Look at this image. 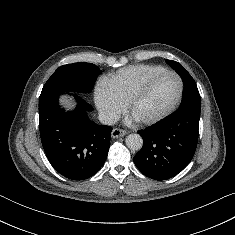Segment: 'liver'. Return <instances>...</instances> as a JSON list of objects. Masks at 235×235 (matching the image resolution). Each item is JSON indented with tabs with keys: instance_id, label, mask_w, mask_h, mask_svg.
<instances>
[{
	"instance_id": "liver-1",
	"label": "liver",
	"mask_w": 235,
	"mask_h": 235,
	"mask_svg": "<svg viewBox=\"0 0 235 235\" xmlns=\"http://www.w3.org/2000/svg\"><path fill=\"white\" fill-rule=\"evenodd\" d=\"M60 102L63 105V107H65L67 110H70V109H72L75 106L73 101H72V98H70L67 95H63L60 98Z\"/></svg>"
}]
</instances>
